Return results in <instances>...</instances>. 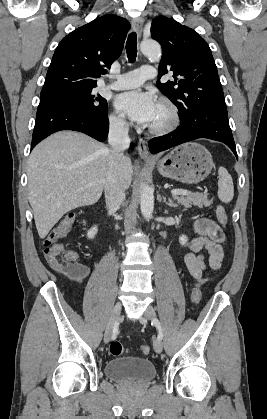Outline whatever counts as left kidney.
<instances>
[{"instance_id": "1", "label": "left kidney", "mask_w": 267, "mask_h": 419, "mask_svg": "<svg viewBox=\"0 0 267 419\" xmlns=\"http://www.w3.org/2000/svg\"><path fill=\"white\" fill-rule=\"evenodd\" d=\"M187 241H188V238H187V236H185V235H181L180 237H179V242H180V244L181 245H186L187 244Z\"/></svg>"}]
</instances>
